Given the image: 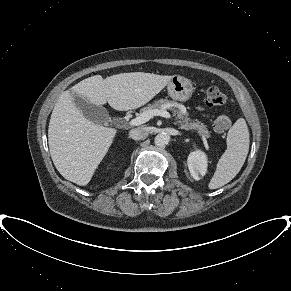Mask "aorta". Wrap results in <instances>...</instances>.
Wrapping results in <instances>:
<instances>
[{"label":"aorta","instance_id":"1","mask_svg":"<svg viewBox=\"0 0 291 291\" xmlns=\"http://www.w3.org/2000/svg\"><path fill=\"white\" fill-rule=\"evenodd\" d=\"M169 141H170L169 134L164 133V132L159 133L154 139L155 144L160 147L167 145Z\"/></svg>","mask_w":291,"mask_h":291}]
</instances>
